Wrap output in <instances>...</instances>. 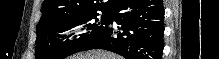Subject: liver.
Wrapping results in <instances>:
<instances>
[{
	"mask_svg": "<svg viewBox=\"0 0 219 59\" xmlns=\"http://www.w3.org/2000/svg\"><path fill=\"white\" fill-rule=\"evenodd\" d=\"M70 59H122L114 53L102 51V50H91L85 53H79L71 56Z\"/></svg>",
	"mask_w": 219,
	"mask_h": 59,
	"instance_id": "liver-1",
	"label": "liver"
}]
</instances>
